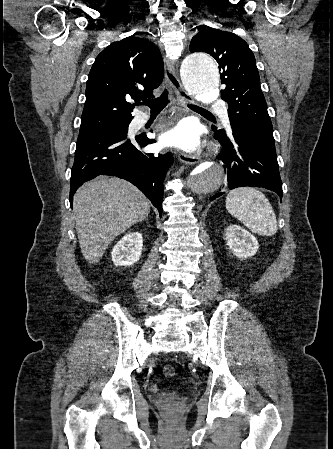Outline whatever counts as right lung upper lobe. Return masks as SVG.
Returning <instances> with one entry per match:
<instances>
[{"instance_id": "1", "label": "right lung upper lobe", "mask_w": 333, "mask_h": 449, "mask_svg": "<svg viewBox=\"0 0 333 449\" xmlns=\"http://www.w3.org/2000/svg\"><path fill=\"white\" fill-rule=\"evenodd\" d=\"M162 78V57L152 42L136 36L113 42L90 70L80 129L131 122L133 106L126 100L153 98Z\"/></svg>"}]
</instances>
